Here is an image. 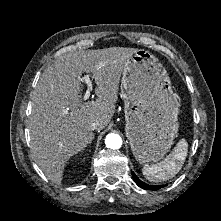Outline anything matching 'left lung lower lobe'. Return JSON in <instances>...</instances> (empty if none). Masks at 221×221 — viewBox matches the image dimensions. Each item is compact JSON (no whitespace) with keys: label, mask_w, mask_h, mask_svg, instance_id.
<instances>
[{"label":"left lung lower lobe","mask_w":221,"mask_h":221,"mask_svg":"<svg viewBox=\"0 0 221 221\" xmlns=\"http://www.w3.org/2000/svg\"><path fill=\"white\" fill-rule=\"evenodd\" d=\"M132 175H133V178H134V181L136 182V184H137L139 187L143 188V189L155 191V190H158L160 187H163V185H162V186H160V185H159V186H155V185H149V184H146V183L142 182V181L135 175L134 172L132 173Z\"/></svg>","instance_id":"obj_1"}]
</instances>
